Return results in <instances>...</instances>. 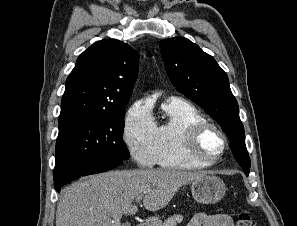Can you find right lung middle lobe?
<instances>
[{
	"mask_svg": "<svg viewBox=\"0 0 297 226\" xmlns=\"http://www.w3.org/2000/svg\"><path fill=\"white\" fill-rule=\"evenodd\" d=\"M124 112L118 115H76L59 120L56 141V162L106 157L122 160L129 158L123 142Z\"/></svg>",
	"mask_w": 297,
	"mask_h": 226,
	"instance_id": "1",
	"label": "right lung middle lobe"
}]
</instances>
